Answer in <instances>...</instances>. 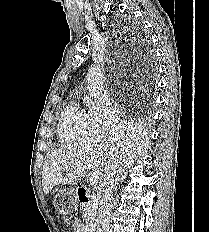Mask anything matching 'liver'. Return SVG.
Masks as SVG:
<instances>
[{"instance_id": "liver-1", "label": "liver", "mask_w": 209, "mask_h": 232, "mask_svg": "<svg viewBox=\"0 0 209 232\" xmlns=\"http://www.w3.org/2000/svg\"><path fill=\"white\" fill-rule=\"evenodd\" d=\"M147 149V139L131 124L64 145L47 156L42 171L43 191L48 194L55 185L77 184L86 166L99 173L101 181L111 170L122 173L131 159L141 157Z\"/></svg>"}]
</instances>
